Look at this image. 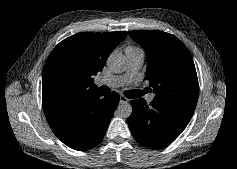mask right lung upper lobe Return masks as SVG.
Listing matches in <instances>:
<instances>
[{"instance_id":"1","label":"right lung upper lobe","mask_w":237,"mask_h":169,"mask_svg":"<svg viewBox=\"0 0 237 169\" xmlns=\"http://www.w3.org/2000/svg\"><path fill=\"white\" fill-rule=\"evenodd\" d=\"M126 36L125 31L78 33L60 42L43 68L45 115L97 89L92 76L103 69L110 53Z\"/></svg>"}]
</instances>
